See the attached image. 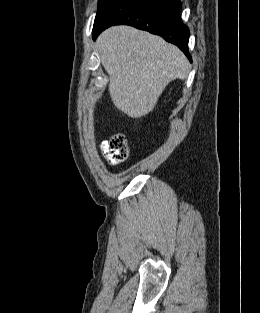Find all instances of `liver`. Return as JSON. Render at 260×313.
Listing matches in <instances>:
<instances>
[{
  "instance_id": "liver-1",
  "label": "liver",
  "mask_w": 260,
  "mask_h": 313,
  "mask_svg": "<svg viewBox=\"0 0 260 313\" xmlns=\"http://www.w3.org/2000/svg\"><path fill=\"white\" fill-rule=\"evenodd\" d=\"M102 65L109 74V93L117 109L138 118L150 112L166 86L185 79L186 56L159 36L130 26H114L97 39Z\"/></svg>"
}]
</instances>
